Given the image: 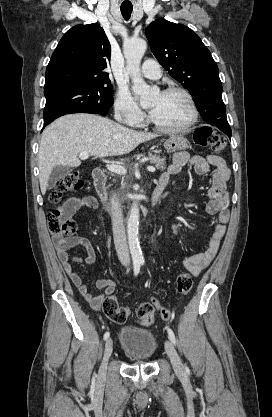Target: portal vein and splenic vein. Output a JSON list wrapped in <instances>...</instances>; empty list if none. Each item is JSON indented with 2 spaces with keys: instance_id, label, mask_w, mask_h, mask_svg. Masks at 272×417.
Instances as JSON below:
<instances>
[{
  "instance_id": "1",
  "label": "portal vein and splenic vein",
  "mask_w": 272,
  "mask_h": 417,
  "mask_svg": "<svg viewBox=\"0 0 272 417\" xmlns=\"http://www.w3.org/2000/svg\"><path fill=\"white\" fill-rule=\"evenodd\" d=\"M88 157H89V154L87 152H81L79 154V158L82 160H85ZM106 167L110 172H113L115 174L125 175L127 173V169L120 165L110 164V165H107ZM147 170L150 172H155V168L152 166L147 167Z\"/></svg>"
}]
</instances>
